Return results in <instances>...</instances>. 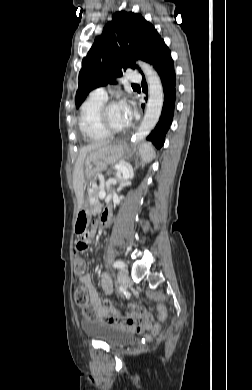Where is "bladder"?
Masks as SVG:
<instances>
[{"mask_svg": "<svg viewBox=\"0 0 252 390\" xmlns=\"http://www.w3.org/2000/svg\"><path fill=\"white\" fill-rule=\"evenodd\" d=\"M89 337L104 342L111 347H122L133 341L130 332L98 321H86L82 324Z\"/></svg>", "mask_w": 252, "mask_h": 390, "instance_id": "1", "label": "bladder"}]
</instances>
